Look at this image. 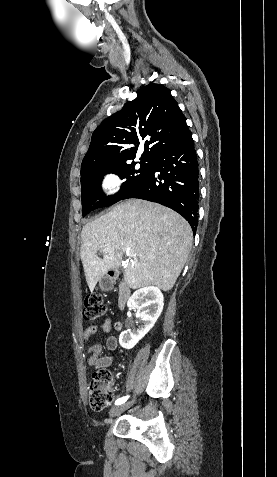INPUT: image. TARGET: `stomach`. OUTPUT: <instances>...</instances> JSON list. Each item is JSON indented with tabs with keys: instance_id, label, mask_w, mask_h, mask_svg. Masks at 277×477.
Returning a JSON list of instances; mask_svg holds the SVG:
<instances>
[{
	"instance_id": "obj_1",
	"label": "stomach",
	"mask_w": 277,
	"mask_h": 477,
	"mask_svg": "<svg viewBox=\"0 0 277 477\" xmlns=\"http://www.w3.org/2000/svg\"><path fill=\"white\" fill-rule=\"evenodd\" d=\"M99 285L102 290H109L112 286V282L108 279V277H103L100 279Z\"/></svg>"
}]
</instances>
